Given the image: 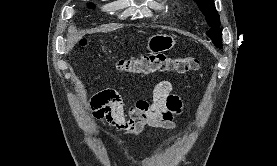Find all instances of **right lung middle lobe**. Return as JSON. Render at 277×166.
Listing matches in <instances>:
<instances>
[{"instance_id":"right-lung-middle-lobe-1","label":"right lung middle lobe","mask_w":277,"mask_h":166,"mask_svg":"<svg viewBox=\"0 0 277 166\" xmlns=\"http://www.w3.org/2000/svg\"><path fill=\"white\" fill-rule=\"evenodd\" d=\"M93 6H94L93 4L90 5V7H93Z\"/></svg>"}]
</instances>
